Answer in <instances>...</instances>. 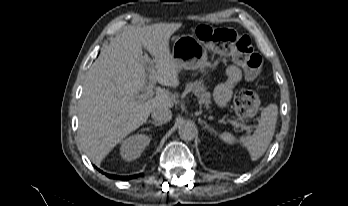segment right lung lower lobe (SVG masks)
Here are the masks:
<instances>
[{"label":"right lung lower lobe","mask_w":348,"mask_h":206,"mask_svg":"<svg viewBox=\"0 0 348 206\" xmlns=\"http://www.w3.org/2000/svg\"><path fill=\"white\" fill-rule=\"evenodd\" d=\"M102 172V171H100ZM106 176H108L109 178H113V179H121V180H127V179H132L135 178L139 175H135V176H115V175H111V174H106Z\"/></svg>","instance_id":"1"}]
</instances>
